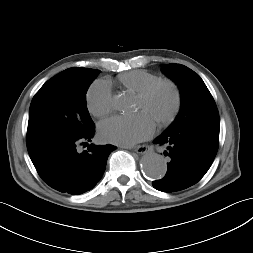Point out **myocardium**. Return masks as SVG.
<instances>
[{"instance_id":"1","label":"myocardium","mask_w":253,"mask_h":253,"mask_svg":"<svg viewBox=\"0 0 253 253\" xmlns=\"http://www.w3.org/2000/svg\"><path fill=\"white\" fill-rule=\"evenodd\" d=\"M167 86L173 94V105L166 117L157 121L159 126H166L170 124L178 115L182 105V92L179 85L172 79L163 78L158 79L137 94V97L143 101L149 99L152 94L160 87Z\"/></svg>"}]
</instances>
